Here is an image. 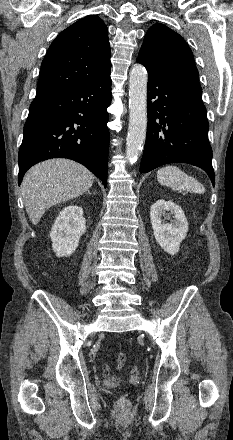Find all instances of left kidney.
<instances>
[{
    "label": "left kidney",
    "mask_w": 233,
    "mask_h": 440,
    "mask_svg": "<svg viewBox=\"0 0 233 440\" xmlns=\"http://www.w3.org/2000/svg\"><path fill=\"white\" fill-rule=\"evenodd\" d=\"M166 211L174 214L171 223L162 222L161 217L167 216ZM150 219L156 242L167 253H178L180 243L188 232V222L182 208L173 201L160 199L151 206Z\"/></svg>",
    "instance_id": "obj_1"
}]
</instances>
